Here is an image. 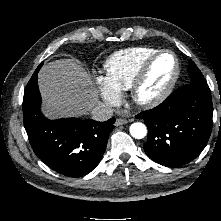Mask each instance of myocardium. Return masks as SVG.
Instances as JSON below:
<instances>
[{"instance_id": "1", "label": "myocardium", "mask_w": 221, "mask_h": 221, "mask_svg": "<svg viewBox=\"0 0 221 221\" xmlns=\"http://www.w3.org/2000/svg\"><path fill=\"white\" fill-rule=\"evenodd\" d=\"M164 54H170L175 63V69L173 76L171 77L170 81L166 84V86L157 94L151 96V97H142L140 95V90L144 83L146 82L149 73L151 71V68L155 61ZM181 68H180V62L177 57V55L168 49H161L153 53L151 56H149L145 62L142 64L141 68L139 69L138 73L136 74L131 86H130V97L132 101L141 107H154L158 104L162 103L173 91L179 76H180Z\"/></svg>"}]
</instances>
